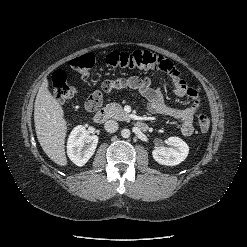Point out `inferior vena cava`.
<instances>
[{"instance_id": "602c4592", "label": "inferior vena cava", "mask_w": 247, "mask_h": 247, "mask_svg": "<svg viewBox=\"0 0 247 247\" xmlns=\"http://www.w3.org/2000/svg\"><path fill=\"white\" fill-rule=\"evenodd\" d=\"M104 128L109 133H114L118 130V123L114 120H108L104 124Z\"/></svg>"}]
</instances>
